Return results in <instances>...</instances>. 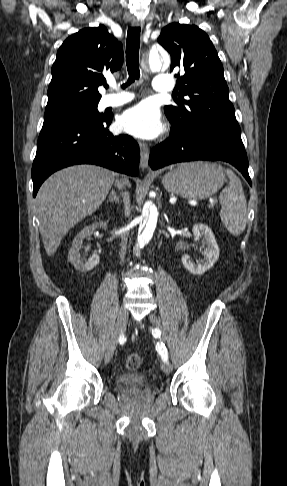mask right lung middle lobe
<instances>
[{
  "label": "right lung middle lobe",
  "mask_w": 287,
  "mask_h": 486,
  "mask_svg": "<svg viewBox=\"0 0 287 486\" xmlns=\"http://www.w3.org/2000/svg\"><path fill=\"white\" fill-rule=\"evenodd\" d=\"M98 101H81L45 109L42 130L54 129L66 125L81 124L100 118L97 110Z\"/></svg>",
  "instance_id": "right-lung-middle-lobe-1"
}]
</instances>
